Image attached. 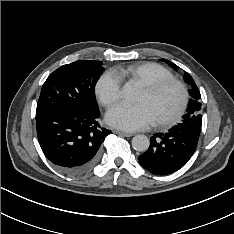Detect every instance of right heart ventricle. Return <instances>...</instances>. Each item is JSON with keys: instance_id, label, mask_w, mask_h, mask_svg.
Here are the masks:
<instances>
[{"instance_id": "obj_1", "label": "right heart ventricle", "mask_w": 234, "mask_h": 234, "mask_svg": "<svg viewBox=\"0 0 234 234\" xmlns=\"http://www.w3.org/2000/svg\"><path fill=\"white\" fill-rule=\"evenodd\" d=\"M114 73L119 79L128 78L131 81L137 82L140 86L174 78V75L168 69L152 62L118 67L114 70Z\"/></svg>"}]
</instances>
